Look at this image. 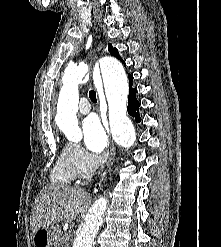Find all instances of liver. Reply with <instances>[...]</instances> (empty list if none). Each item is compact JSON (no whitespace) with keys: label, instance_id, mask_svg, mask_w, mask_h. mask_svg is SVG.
I'll use <instances>...</instances> for the list:
<instances>
[{"label":"liver","instance_id":"obj_1","mask_svg":"<svg viewBox=\"0 0 221 247\" xmlns=\"http://www.w3.org/2000/svg\"><path fill=\"white\" fill-rule=\"evenodd\" d=\"M86 205V193L80 188L54 184L43 187L32 209V235L40 228H48L63 220L72 222Z\"/></svg>","mask_w":221,"mask_h":247}]
</instances>
